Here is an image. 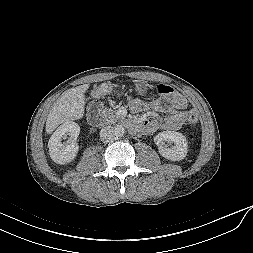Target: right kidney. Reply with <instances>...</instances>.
<instances>
[{"mask_svg":"<svg viewBox=\"0 0 253 253\" xmlns=\"http://www.w3.org/2000/svg\"><path fill=\"white\" fill-rule=\"evenodd\" d=\"M80 127L75 122H67L57 128L51 136L48 147L51 159L57 164H67L73 161L79 151L76 139L79 135ZM69 135L66 143H62V138Z\"/></svg>","mask_w":253,"mask_h":253,"instance_id":"ca27d5eb","label":"right kidney"}]
</instances>
